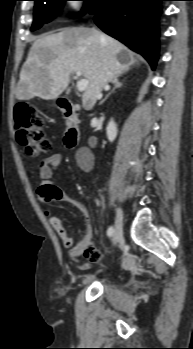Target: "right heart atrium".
Listing matches in <instances>:
<instances>
[{
	"label": "right heart atrium",
	"instance_id": "1",
	"mask_svg": "<svg viewBox=\"0 0 193 349\" xmlns=\"http://www.w3.org/2000/svg\"><path fill=\"white\" fill-rule=\"evenodd\" d=\"M68 7L75 11V12H78L80 11V2L79 1H75V0H72V1H68Z\"/></svg>",
	"mask_w": 193,
	"mask_h": 349
}]
</instances>
